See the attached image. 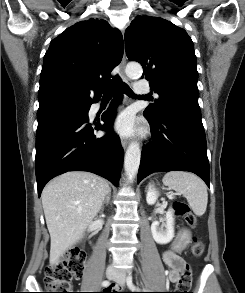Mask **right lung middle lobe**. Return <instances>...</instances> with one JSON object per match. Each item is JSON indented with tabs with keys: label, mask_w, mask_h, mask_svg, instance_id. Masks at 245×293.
Returning a JSON list of instances; mask_svg holds the SVG:
<instances>
[{
	"label": "right lung middle lobe",
	"mask_w": 245,
	"mask_h": 293,
	"mask_svg": "<svg viewBox=\"0 0 245 293\" xmlns=\"http://www.w3.org/2000/svg\"><path fill=\"white\" fill-rule=\"evenodd\" d=\"M89 107L90 105L57 104L39 108L37 134L60 121L86 117Z\"/></svg>",
	"instance_id": "right-lung-middle-lobe-1"
}]
</instances>
